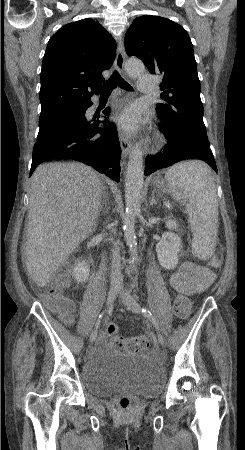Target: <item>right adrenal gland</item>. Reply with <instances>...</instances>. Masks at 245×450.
Listing matches in <instances>:
<instances>
[{
	"mask_svg": "<svg viewBox=\"0 0 245 450\" xmlns=\"http://www.w3.org/2000/svg\"><path fill=\"white\" fill-rule=\"evenodd\" d=\"M103 197L105 198V192H103ZM104 204V203H103ZM105 206H106V203H105ZM108 210V209H107Z\"/></svg>",
	"mask_w": 245,
	"mask_h": 450,
	"instance_id": "2a0ac1e0",
	"label": "right adrenal gland"
}]
</instances>
